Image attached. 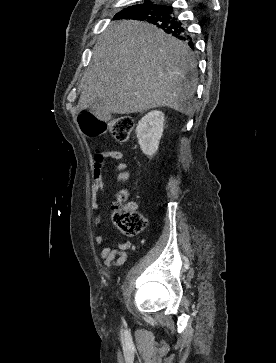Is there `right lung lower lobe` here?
Masks as SVG:
<instances>
[{
  "mask_svg": "<svg viewBox=\"0 0 276 363\" xmlns=\"http://www.w3.org/2000/svg\"><path fill=\"white\" fill-rule=\"evenodd\" d=\"M122 19L144 20L152 23L162 28L165 32L188 42L189 46L193 48V43L187 29L181 21H178L174 9L170 5H156L146 12Z\"/></svg>",
  "mask_w": 276,
  "mask_h": 363,
  "instance_id": "obj_1",
  "label": "right lung lower lobe"
}]
</instances>
